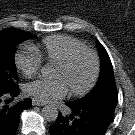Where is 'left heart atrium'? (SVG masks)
I'll use <instances>...</instances> for the list:
<instances>
[{
    "label": "left heart atrium",
    "instance_id": "1",
    "mask_svg": "<svg viewBox=\"0 0 135 135\" xmlns=\"http://www.w3.org/2000/svg\"><path fill=\"white\" fill-rule=\"evenodd\" d=\"M68 87L62 79L37 80L27 85V92L42 102H51L66 95Z\"/></svg>",
    "mask_w": 135,
    "mask_h": 135
}]
</instances>
